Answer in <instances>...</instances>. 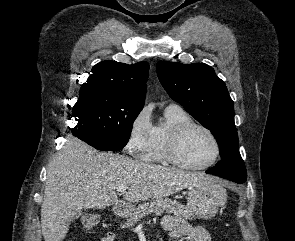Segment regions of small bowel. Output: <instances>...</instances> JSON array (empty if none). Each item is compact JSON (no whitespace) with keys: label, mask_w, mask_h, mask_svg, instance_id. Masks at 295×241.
I'll return each instance as SVG.
<instances>
[{"label":"small bowel","mask_w":295,"mask_h":241,"mask_svg":"<svg viewBox=\"0 0 295 241\" xmlns=\"http://www.w3.org/2000/svg\"><path fill=\"white\" fill-rule=\"evenodd\" d=\"M163 228L171 241L186 237L189 241H211L209 233L202 227H193L188 222L174 215H166L162 220ZM101 241H116L113 233H108Z\"/></svg>","instance_id":"small-bowel-1"}]
</instances>
